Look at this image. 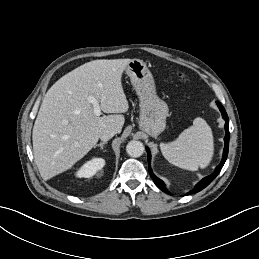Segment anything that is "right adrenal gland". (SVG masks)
Returning a JSON list of instances; mask_svg holds the SVG:
<instances>
[{"mask_svg":"<svg viewBox=\"0 0 259 259\" xmlns=\"http://www.w3.org/2000/svg\"><path fill=\"white\" fill-rule=\"evenodd\" d=\"M105 144H107V141H103L100 144L95 145V148L100 147L103 150Z\"/></svg>","mask_w":259,"mask_h":259,"instance_id":"2a0ac1e0","label":"right adrenal gland"}]
</instances>
